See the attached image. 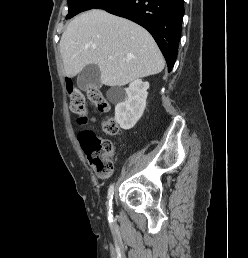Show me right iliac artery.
I'll use <instances>...</instances> for the list:
<instances>
[{
    "mask_svg": "<svg viewBox=\"0 0 248 258\" xmlns=\"http://www.w3.org/2000/svg\"><path fill=\"white\" fill-rule=\"evenodd\" d=\"M114 194V185H111L108 190V199H109V211H108V219L112 218V199Z\"/></svg>",
    "mask_w": 248,
    "mask_h": 258,
    "instance_id": "1",
    "label": "right iliac artery"
}]
</instances>
